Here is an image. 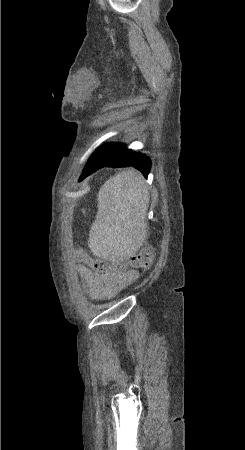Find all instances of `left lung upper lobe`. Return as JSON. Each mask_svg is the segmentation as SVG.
Segmentation results:
<instances>
[{
	"mask_svg": "<svg viewBox=\"0 0 245 450\" xmlns=\"http://www.w3.org/2000/svg\"><path fill=\"white\" fill-rule=\"evenodd\" d=\"M111 148H112V147H111ZM97 158H98V153L96 154V152H94V153L92 154V156L89 158V160H88V162H87V164H86V166H85V168H84L83 171H85L87 168H89L90 166H92V165L97 161Z\"/></svg>",
	"mask_w": 245,
	"mask_h": 450,
	"instance_id": "5c2ea615",
	"label": "left lung upper lobe"
}]
</instances>
